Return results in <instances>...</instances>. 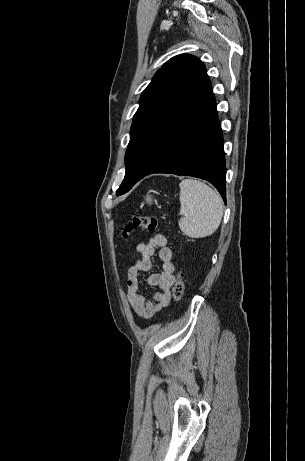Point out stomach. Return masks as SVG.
Returning <instances> with one entry per match:
<instances>
[{"instance_id":"0dacf381","label":"stomach","mask_w":305,"mask_h":461,"mask_svg":"<svg viewBox=\"0 0 305 461\" xmlns=\"http://www.w3.org/2000/svg\"><path fill=\"white\" fill-rule=\"evenodd\" d=\"M145 200H146V202H147L149 205H151L152 202H153L152 196H151V195H147Z\"/></svg>"}]
</instances>
